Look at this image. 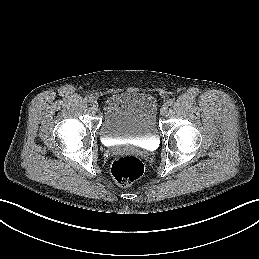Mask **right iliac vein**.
Wrapping results in <instances>:
<instances>
[{
	"instance_id": "1",
	"label": "right iliac vein",
	"mask_w": 259,
	"mask_h": 259,
	"mask_svg": "<svg viewBox=\"0 0 259 259\" xmlns=\"http://www.w3.org/2000/svg\"><path fill=\"white\" fill-rule=\"evenodd\" d=\"M91 107H92L93 110H97L98 109V102L95 101V100H92Z\"/></svg>"
}]
</instances>
